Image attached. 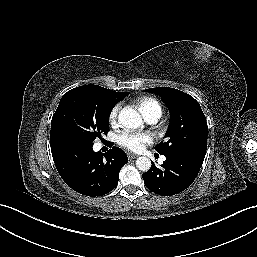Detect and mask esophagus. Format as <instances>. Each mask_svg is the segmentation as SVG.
I'll return each instance as SVG.
<instances>
[{"label": "esophagus", "instance_id": "obj_1", "mask_svg": "<svg viewBox=\"0 0 257 257\" xmlns=\"http://www.w3.org/2000/svg\"><path fill=\"white\" fill-rule=\"evenodd\" d=\"M127 156H128L129 159H135V158L138 157V155L133 154V153H127Z\"/></svg>", "mask_w": 257, "mask_h": 257}]
</instances>
